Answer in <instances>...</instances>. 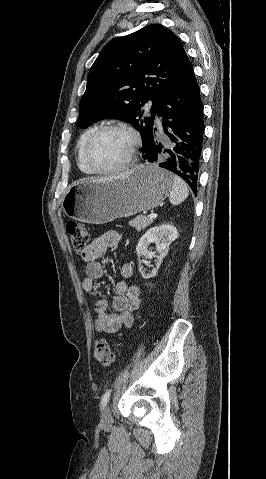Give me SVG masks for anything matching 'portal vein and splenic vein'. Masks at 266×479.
I'll return each instance as SVG.
<instances>
[{
    "label": "portal vein and splenic vein",
    "instance_id": "1",
    "mask_svg": "<svg viewBox=\"0 0 266 479\" xmlns=\"http://www.w3.org/2000/svg\"><path fill=\"white\" fill-rule=\"evenodd\" d=\"M150 219H154L157 217V214L156 213H151L149 216H148Z\"/></svg>",
    "mask_w": 266,
    "mask_h": 479
}]
</instances>
